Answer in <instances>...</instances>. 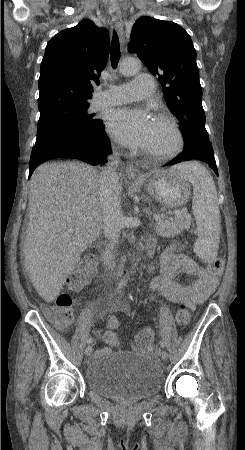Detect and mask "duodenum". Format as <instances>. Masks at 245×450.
<instances>
[{"instance_id":"duodenum-1","label":"duodenum","mask_w":245,"mask_h":450,"mask_svg":"<svg viewBox=\"0 0 245 450\" xmlns=\"http://www.w3.org/2000/svg\"><path fill=\"white\" fill-rule=\"evenodd\" d=\"M104 266L112 272L122 271L123 265L116 259L114 254V244L108 242L102 254Z\"/></svg>"}]
</instances>
